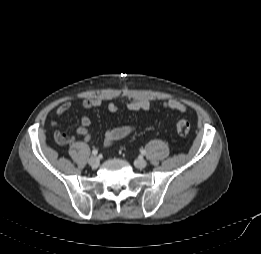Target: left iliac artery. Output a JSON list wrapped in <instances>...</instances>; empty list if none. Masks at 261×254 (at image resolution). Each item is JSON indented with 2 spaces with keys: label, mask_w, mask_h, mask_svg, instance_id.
I'll return each mask as SVG.
<instances>
[{
  "label": "left iliac artery",
  "mask_w": 261,
  "mask_h": 254,
  "mask_svg": "<svg viewBox=\"0 0 261 254\" xmlns=\"http://www.w3.org/2000/svg\"><path fill=\"white\" fill-rule=\"evenodd\" d=\"M141 153H142L143 155H145V154H146V151H145L144 149H141Z\"/></svg>",
  "instance_id": "obj_1"
}]
</instances>
